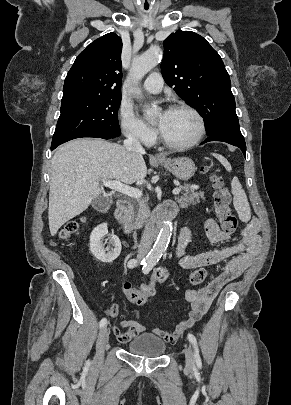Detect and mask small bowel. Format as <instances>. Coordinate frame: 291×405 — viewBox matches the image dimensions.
Instances as JSON below:
<instances>
[{"label": "small bowel", "instance_id": "1", "mask_svg": "<svg viewBox=\"0 0 291 405\" xmlns=\"http://www.w3.org/2000/svg\"><path fill=\"white\" fill-rule=\"evenodd\" d=\"M205 232L208 239L214 244H223L230 239V235L220 229L216 219L213 217L206 220ZM258 232V223L251 222L243 229L239 243L198 254H188L186 247L191 240V231L189 228H183L176 249V256L181 267L192 270L212 266L224 260L228 261L223 266L220 274L209 284L200 289L189 288L186 290L184 299L189 304V313L176 326L174 331L167 332L160 328H154L151 332L168 343H174L188 328L200 320L220 289L228 282L239 277L258 254L261 247V238ZM118 312L119 307L115 303L106 309V313L111 317H116ZM136 317L137 320L121 321V326L127 327V331L124 333L120 332L117 327L113 328L115 338L119 342L127 343L146 331L145 326L139 321V312L136 313Z\"/></svg>", "mask_w": 291, "mask_h": 405}]
</instances>
